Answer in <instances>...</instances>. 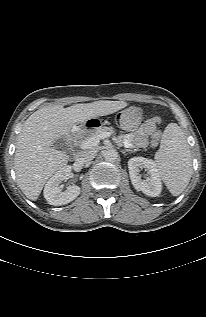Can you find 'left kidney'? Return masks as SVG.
Segmentation results:
<instances>
[{
    "label": "left kidney",
    "instance_id": "obj_1",
    "mask_svg": "<svg viewBox=\"0 0 206 317\" xmlns=\"http://www.w3.org/2000/svg\"><path fill=\"white\" fill-rule=\"evenodd\" d=\"M129 175L132 185L137 191L156 197L162 190V183L158 169L153 160L144 157H133L128 161ZM147 171L146 180L141 178L140 169Z\"/></svg>",
    "mask_w": 206,
    "mask_h": 317
}]
</instances>
